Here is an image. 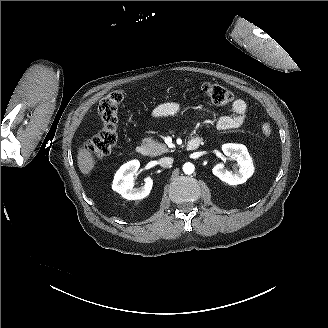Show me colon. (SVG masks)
<instances>
[{
	"instance_id": "1",
	"label": "colon",
	"mask_w": 328,
	"mask_h": 328,
	"mask_svg": "<svg viewBox=\"0 0 328 328\" xmlns=\"http://www.w3.org/2000/svg\"><path fill=\"white\" fill-rule=\"evenodd\" d=\"M201 93L217 105H225L232 101V93L225 87L213 83H203ZM125 94L122 91L108 93L99 103L98 113L102 127L98 134L90 139L85 148L97 157L108 155L118 141L117 124L118 109L123 102ZM264 136L269 137L272 133L270 124L264 123L261 127Z\"/></svg>"
}]
</instances>
